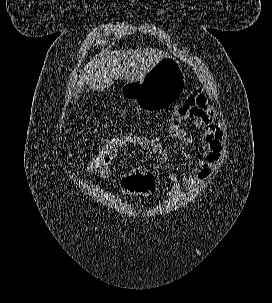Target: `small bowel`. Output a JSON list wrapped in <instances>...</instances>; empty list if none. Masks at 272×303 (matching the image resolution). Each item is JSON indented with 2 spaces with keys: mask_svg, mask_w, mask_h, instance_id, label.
<instances>
[{
  "mask_svg": "<svg viewBox=\"0 0 272 303\" xmlns=\"http://www.w3.org/2000/svg\"><path fill=\"white\" fill-rule=\"evenodd\" d=\"M186 121H190L192 127L199 132L201 157L195 160L189 152L185 151L184 156L186 160L193 163V167L190 170L179 169L169 173L172 184L168 192L170 198L177 196L181 189H192L197 183L210 177L222 156L224 131L219 124L217 113L200 89L193 90L186 97L176 108L168 123V135L181 142L184 149L194 139V132L183 127ZM127 139L129 145L152 152L163 163V169H169L168 151L160 138L150 139L141 135H130ZM139 172L134 170L119 176V184L124 192L133 193L134 182ZM114 175V170L111 169L100 177L111 178Z\"/></svg>",
  "mask_w": 272,
  "mask_h": 303,
  "instance_id": "obj_1",
  "label": "small bowel"
}]
</instances>
